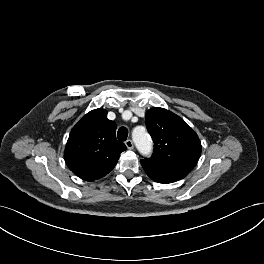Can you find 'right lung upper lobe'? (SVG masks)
Returning a JSON list of instances; mask_svg holds the SVG:
<instances>
[{"instance_id":"obj_1","label":"right lung upper lobe","mask_w":264,"mask_h":264,"mask_svg":"<svg viewBox=\"0 0 264 264\" xmlns=\"http://www.w3.org/2000/svg\"><path fill=\"white\" fill-rule=\"evenodd\" d=\"M124 143L116 139V124L105 109L87 113L71 130L64 158L78 177L94 181L108 174L117 164Z\"/></svg>"}]
</instances>
